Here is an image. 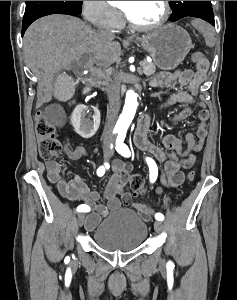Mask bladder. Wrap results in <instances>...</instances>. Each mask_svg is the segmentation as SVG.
<instances>
[{
  "label": "bladder",
  "mask_w": 237,
  "mask_h": 300,
  "mask_svg": "<svg viewBox=\"0 0 237 300\" xmlns=\"http://www.w3.org/2000/svg\"><path fill=\"white\" fill-rule=\"evenodd\" d=\"M147 235V223L129 209L107 217L91 234L92 240L100 248L121 252L139 248Z\"/></svg>",
  "instance_id": "31cf9c89"
}]
</instances>
